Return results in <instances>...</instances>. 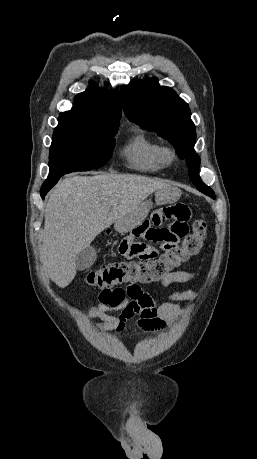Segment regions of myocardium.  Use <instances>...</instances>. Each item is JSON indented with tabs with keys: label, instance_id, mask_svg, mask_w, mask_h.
Returning <instances> with one entry per match:
<instances>
[{
	"label": "myocardium",
	"instance_id": "obj_1",
	"mask_svg": "<svg viewBox=\"0 0 257 459\" xmlns=\"http://www.w3.org/2000/svg\"><path fill=\"white\" fill-rule=\"evenodd\" d=\"M162 156L165 160L166 164L172 163L176 157V153L172 148L163 147L162 148Z\"/></svg>",
	"mask_w": 257,
	"mask_h": 459
}]
</instances>
